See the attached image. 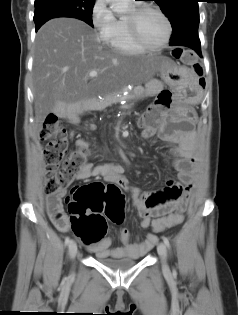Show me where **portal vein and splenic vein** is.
<instances>
[{"label": "portal vein and splenic vein", "mask_w": 238, "mask_h": 315, "mask_svg": "<svg viewBox=\"0 0 238 315\" xmlns=\"http://www.w3.org/2000/svg\"><path fill=\"white\" fill-rule=\"evenodd\" d=\"M98 75V72L97 71H91L90 73H89V76L90 77H96Z\"/></svg>", "instance_id": "obj_1"}]
</instances>
